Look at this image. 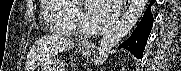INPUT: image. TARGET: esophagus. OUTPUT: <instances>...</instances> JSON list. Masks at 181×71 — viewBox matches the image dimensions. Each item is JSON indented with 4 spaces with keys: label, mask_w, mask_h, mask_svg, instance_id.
I'll return each instance as SVG.
<instances>
[{
    "label": "esophagus",
    "mask_w": 181,
    "mask_h": 71,
    "mask_svg": "<svg viewBox=\"0 0 181 71\" xmlns=\"http://www.w3.org/2000/svg\"><path fill=\"white\" fill-rule=\"evenodd\" d=\"M129 3H130V0H125L124 1V9H123V11H125L127 9V7L129 6ZM83 45L87 46V47H92V48L94 47V45L91 44V43H83Z\"/></svg>",
    "instance_id": "esophagus-1"
}]
</instances>
